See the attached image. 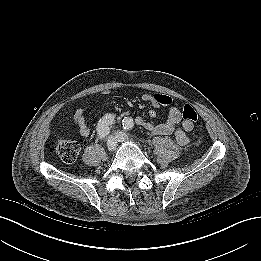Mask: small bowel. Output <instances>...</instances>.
<instances>
[{"label":"small bowel","mask_w":261,"mask_h":261,"mask_svg":"<svg viewBox=\"0 0 261 261\" xmlns=\"http://www.w3.org/2000/svg\"><path fill=\"white\" fill-rule=\"evenodd\" d=\"M157 94L144 93L141 99L152 106L148 115L151 118L156 117V110L165 104H162L156 97ZM166 96V95H165ZM86 107L81 106L76 109L74 115L75 124L78 126L82 136L88 137L91 134V130L86 121ZM134 122L144 127L147 131L155 135H170L174 133L177 143L181 146H185L189 143L188 132L193 129V123L182 119V113L176 106H171L168 111L167 120L160 124H154L147 121L142 116H137Z\"/></svg>","instance_id":"1"}]
</instances>
